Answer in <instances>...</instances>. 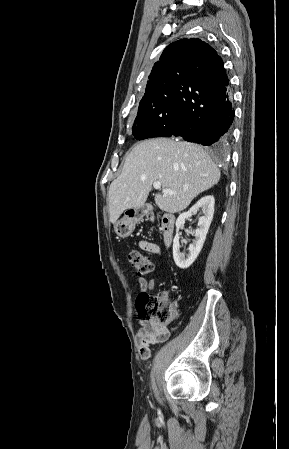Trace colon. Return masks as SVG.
<instances>
[{
	"label": "colon",
	"mask_w": 289,
	"mask_h": 449,
	"mask_svg": "<svg viewBox=\"0 0 289 449\" xmlns=\"http://www.w3.org/2000/svg\"><path fill=\"white\" fill-rule=\"evenodd\" d=\"M148 217L152 219L153 215L149 214ZM128 259L139 276H147L154 270L151 259L139 251H131ZM137 308L151 329L159 335L168 334L169 324L178 316L177 309L169 302L165 294L142 292L137 298Z\"/></svg>",
	"instance_id": "obj_1"
}]
</instances>
